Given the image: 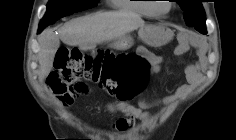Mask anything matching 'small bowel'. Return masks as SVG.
Wrapping results in <instances>:
<instances>
[{
  "label": "small bowel",
  "mask_w": 236,
  "mask_h": 140,
  "mask_svg": "<svg viewBox=\"0 0 236 140\" xmlns=\"http://www.w3.org/2000/svg\"><path fill=\"white\" fill-rule=\"evenodd\" d=\"M187 48V42L184 38H181L180 43L176 48V53L181 55ZM141 57L149 63L150 70L153 73H158L165 62L164 57L149 53L145 50L141 51ZM184 77L185 83L179 85L173 93L167 96L153 99L141 98L136 106L126 102H117L108 105L106 109L107 112L121 114L114 123V129L119 132H128L133 128L136 121H141L145 126L149 125L152 122L153 117L146 109L157 104L164 105L167 109L172 107L176 101L200 83L201 74L199 66L197 64L186 66ZM72 102V99H67L64 101V105L69 106Z\"/></svg>",
  "instance_id": "c3829d8e"
}]
</instances>
